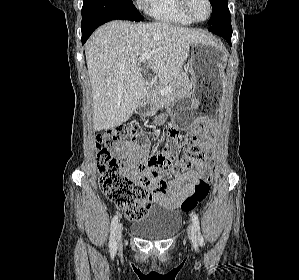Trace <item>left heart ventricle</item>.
Returning <instances> with one entry per match:
<instances>
[{"mask_svg":"<svg viewBox=\"0 0 299 280\" xmlns=\"http://www.w3.org/2000/svg\"><path fill=\"white\" fill-rule=\"evenodd\" d=\"M191 12L198 20H203L208 14V6L205 0H191Z\"/></svg>","mask_w":299,"mask_h":280,"instance_id":"obj_1","label":"left heart ventricle"}]
</instances>
